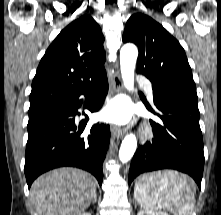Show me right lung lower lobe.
<instances>
[{
  "mask_svg": "<svg viewBox=\"0 0 221 215\" xmlns=\"http://www.w3.org/2000/svg\"><path fill=\"white\" fill-rule=\"evenodd\" d=\"M108 91L107 77L80 93L29 113L24 172L28 187L41 174L58 167L73 166L92 173L102 184V164L109 145L108 125L85 129L88 116L78 124L74 118L82 105L97 112Z\"/></svg>",
  "mask_w": 221,
  "mask_h": 215,
  "instance_id": "obj_1",
  "label": "right lung lower lobe"
}]
</instances>
